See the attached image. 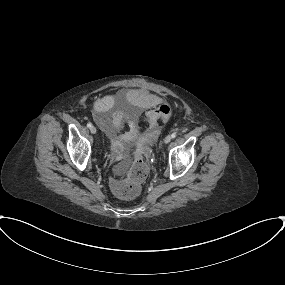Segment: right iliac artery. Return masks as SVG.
I'll list each match as a JSON object with an SVG mask.
<instances>
[{
    "instance_id": "obj_1",
    "label": "right iliac artery",
    "mask_w": 285,
    "mask_h": 285,
    "mask_svg": "<svg viewBox=\"0 0 285 285\" xmlns=\"http://www.w3.org/2000/svg\"><path fill=\"white\" fill-rule=\"evenodd\" d=\"M92 124L90 122L87 123V127L91 128Z\"/></svg>"
}]
</instances>
